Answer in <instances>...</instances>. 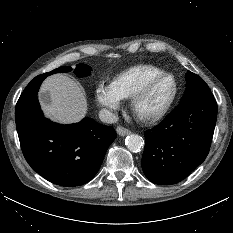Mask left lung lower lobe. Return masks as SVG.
<instances>
[{"instance_id": "obj_1", "label": "left lung lower lobe", "mask_w": 233, "mask_h": 233, "mask_svg": "<svg viewBox=\"0 0 233 233\" xmlns=\"http://www.w3.org/2000/svg\"><path fill=\"white\" fill-rule=\"evenodd\" d=\"M217 119L212 93L179 103L165 119L145 131L142 169L155 184L185 179L208 155Z\"/></svg>"}]
</instances>
